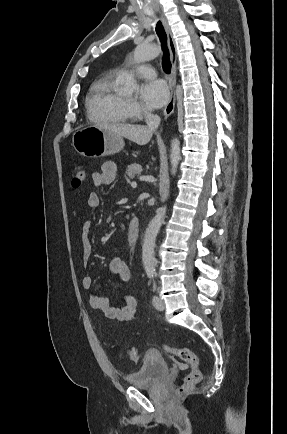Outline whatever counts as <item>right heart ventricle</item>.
<instances>
[{"label": "right heart ventricle", "instance_id": "1", "mask_svg": "<svg viewBox=\"0 0 287 434\" xmlns=\"http://www.w3.org/2000/svg\"><path fill=\"white\" fill-rule=\"evenodd\" d=\"M122 74L112 70L91 85L86 97L88 118L96 123H125L130 120L127 100L118 92Z\"/></svg>", "mask_w": 287, "mask_h": 434}]
</instances>
